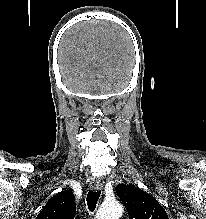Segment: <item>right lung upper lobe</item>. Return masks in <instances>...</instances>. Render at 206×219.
<instances>
[{
    "label": "right lung upper lobe",
    "mask_w": 206,
    "mask_h": 219,
    "mask_svg": "<svg viewBox=\"0 0 206 219\" xmlns=\"http://www.w3.org/2000/svg\"><path fill=\"white\" fill-rule=\"evenodd\" d=\"M75 197L70 190H64L49 199L36 219H74Z\"/></svg>",
    "instance_id": "1"
}]
</instances>
